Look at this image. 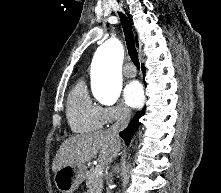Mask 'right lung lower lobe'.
<instances>
[{
	"label": "right lung lower lobe",
	"instance_id": "98d812e1",
	"mask_svg": "<svg viewBox=\"0 0 221 193\" xmlns=\"http://www.w3.org/2000/svg\"><path fill=\"white\" fill-rule=\"evenodd\" d=\"M142 72H145V67L142 65ZM145 114V108L141 111H138L133 117L132 121L129 123L128 127L121 131L119 135L124 139V141L128 144L135 131L139 126V119Z\"/></svg>",
	"mask_w": 221,
	"mask_h": 193
}]
</instances>
